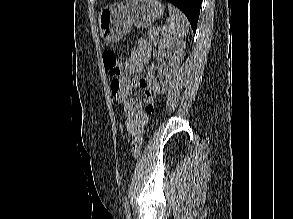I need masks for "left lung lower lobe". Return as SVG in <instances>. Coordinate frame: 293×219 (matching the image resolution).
I'll return each instance as SVG.
<instances>
[{"mask_svg": "<svg viewBox=\"0 0 293 219\" xmlns=\"http://www.w3.org/2000/svg\"><path fill=\"white\" fill-rule=\"evenodd\" d=\"M178 7L190 21L193 32H196L202 0H168Z\"/></svg>", "mask_w": 293, "mask_h": 219, "instance_id": "left-lung-lower-lobe-1", "label": "left lung lower lobe"}]
</instances>
